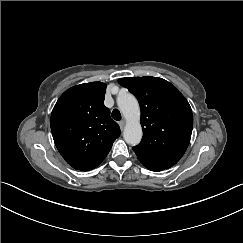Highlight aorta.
<instances>
[{
  "instance_id": "1",
  "label": "aorta",
  "mask_w": 243,
  "mask_h": 243,
  "mask_svg": "<svg viewBox=\"0 0 243 243\" xmlns=\"http://www.w3.org/2000/svg\"><path fill=\"white\" fill-rule=\"evenodd\" d=\"M116 101L126 122L123 138L131 146L138 145L143 136L139 103L133 94L121 91L117 95Z\"/></svg>"
}]
</instances>
